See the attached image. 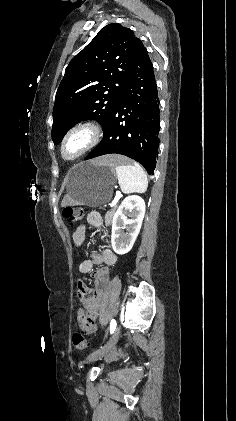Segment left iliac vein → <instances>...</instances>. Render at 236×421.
I'll return each mask as SVG.
<instances>
[{"label":"left iliac vein","mask_w":236,"mask_h":421,"mask_svg":"<svg viewBox=\"0 0 236 421\" xmlns=\"http://www.w3.org/2000/svg\"><path fill=\"white\" fill-rule=\"evenodd\" d=\"M120 334V328L117 326L115 331L113 332L110 339L107 341V343L99 350L94 351L93 353L89 354L86 358L87 361H94L108 353L115 345L119 338Z\"/></svg>","instance_id":"1"}]
</instances>
